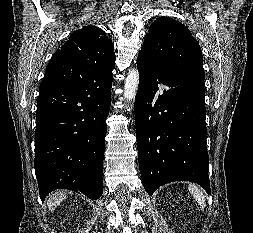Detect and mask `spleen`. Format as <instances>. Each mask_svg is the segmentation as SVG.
Masks as SVG:
<instances>
[{
  "instance_id": "spleen-1",
  "label": "spleen",
  "mask_w": 253,
  "mask_h": 233,
  "mask_svg": "<svg viewBox=\"0 0 253 233\" xmlns=\"http://www.w3.org/2000/svg\"><path fill=\"white\" fill-rule=\"evenodd\" d=\"M188 190L202 209L205 208V196L203 191L195 184H189Z\"/></svg>"
}]
</instances>
